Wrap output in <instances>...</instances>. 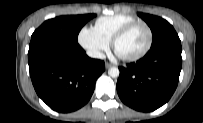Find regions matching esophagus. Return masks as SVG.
<instances>
[{
	"label": "esophagus",
	"mask_w": 203,
	"mask_h": 123,
	"mask_svg": "<svg viewBox=\"0 0 203 123\" xmlns=\"http://www.w3.org/2000/svg\"><path fill=\"white\" fill-rule=\"evenodd\" d=\"M105 66H106V68L108 69V68H110L112 65L107 62V63L105 64Z\"/></svg>",
	"instance_id": "1"
}]
</instances>
